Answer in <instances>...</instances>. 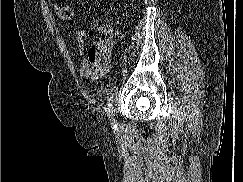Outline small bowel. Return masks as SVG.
I'll return each mask as SVG.
<instances>
[{
  "label": "small bowel",
  "mask_w": 243,
  "mask_h": 182,
  "mask_svg": "<svg viewBox=\"0 0 243 182\" xmlns=\"http://www.w3.org/2000/svg\"><path fill=\"white\" fill-rule=\"evenodd\" d=\"M88 34L84 30L77 32V48L80 56V75L89 80L105 77L111 69V60L93 54V47L86 52Z\"/></svg>",
  "instance_id": "1"
}]
</instances>
